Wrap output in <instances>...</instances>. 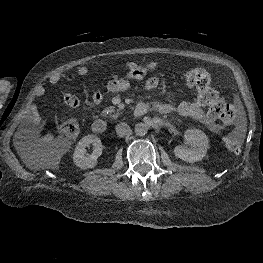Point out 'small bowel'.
Returning a JSON list of instances; mask_svg holds the SVG:
<instances>
[{"instance_id": "1", "label": "small bowel", "mask_w": 263, "mask_h": 263, "mask_svg": "<svg viewBox=\"0 0 263 263\" xmlns=\"http://www.w3.org/2000/svg\"><path fill=\"white\" fill-rule=\"evenodd\" d=\"M159 68V62L151 61L146 64H139L136 62H129L124 66V75L115 76L108 80L106 89L110 92L125 91L130 88H137L146 91L153 90L159 85V77L152 74ZM89 74V68L87 66L79 67L75 73L70 75L53 74L49 78L51 85H57L61 82L66 84L72 82L77 77H85ZM45 94L43 87H38L35 93L37 99L41 98ZM63 101L71 108H82V103L77 96L71 93L69 90H64L62 93ZM91 102L98 106L103 101V93L98 89H93L90 92ZM150 109H156L161 113L167 114L174 110L178 114L186 117H191L195 120L203 123L208 129L213 132L219 130V125L216 121L209 117L203 110L204 105L197 100L193 102L181 101L176 106L166 101L149 102L146 103ZM40 131L39 118L36 107L32 108V115L30 120V126L28 132L32 135H37ZM40 141L46 145H52L55 143V138L51 134H46L40 138Z\"/></svg>"}]
</instances>
